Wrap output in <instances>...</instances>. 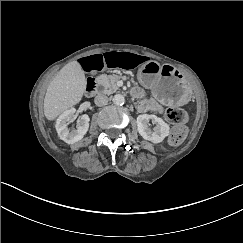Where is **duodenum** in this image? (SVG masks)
Masks as SVG:
<instances>
[{
	"label": "duodenum",
	"mask_w": 243,
	"mask_h": 243,
	"mask_svg": "<svg viewBox=\"0 0 243 243\" xmlns=\"http://www.w3.org/2000/svg\"><path fill=\"white\" fill-rule=\"evenodd\" d=\"M97 88V81L94 78H89L86 84L85 93L87 96H91L95 93Z\"/></svg>",
	"instance_id": "obj_1"
}]
</instances>
